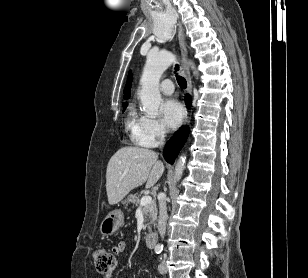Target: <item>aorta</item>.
<instances>
[{
  "instance_id": "obj_1",
  "label": "aorta",
  "mask_w": 308,
  "mask_h": 278,
  "mask_svg": "<svg viewBox=\"0 0 308 278\" xmlns=\"http://www.w3.org/2000/svg\"><path fill=\"white\" fill-rule=\"evenodd\" d=\"M175 61V56L168 51L149 53L140 80L141 90L139 97L143 110L149 117L158 115L159 105L162 101L159 91V81L163 72ZM192 68H194V65ZM197 74V72H194ZM186 164V156L179 157L175 167V182L181 179Z\"/></svg>"
}]
</instances>
